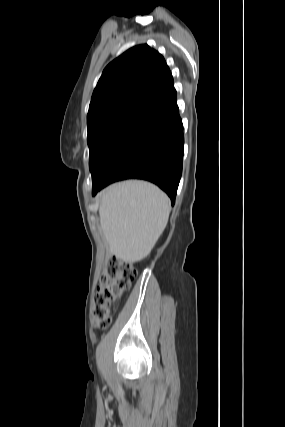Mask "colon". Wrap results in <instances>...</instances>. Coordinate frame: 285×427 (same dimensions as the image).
Instances as JSON below:
<instances>
[{"label": "colon", "mask_w": 285, "mask_h": 427, "mask_svg": "<svg viewBox=\"0 0 285 427\" xmlns=\"http://www.w3.org/2000/svg\"><path fill=\"white\" fill-rule=\"evenodd\" d=\"M136 276L134 268L126 262L112 259L106 264L93 297V325L97 329L109 327L112 306L127 291Z\"/></svg>", "instance_id": "5ec220e1"}]
</instances>
